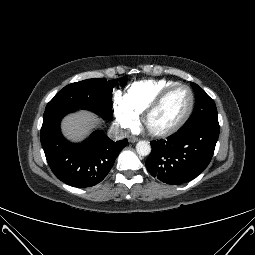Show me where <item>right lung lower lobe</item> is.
<instances>
[{
	"label": "right lung lower lobe",
	"mask_w": 255,
	"mask_h": 255,
	"mask_svg": "<svg viewBox=\"0 0 255 255\" xmlns=\"http://www.w3.org/2000/svg\"><path fill=\"white\" fill-rule=\"evenodd\" d=\"M76 109L44 112L40 138L47 162L62 182L78 187H92L101 182L112 168L127 139L117 142L96 130L80 144L68 142L61 134V119Z\"/></svg>",
	"instance_id": "right-lung-lower-lobe-1"
}]
</instances>
